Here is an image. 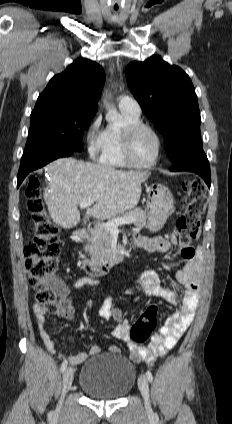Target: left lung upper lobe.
I'll return each mask as SVG.
<instances>
[{
    "mask_svg": "<svg viewBox=\"0 0 232 424\" xmlns=\"http://www.w3.org/2000/svg\"><path fill=\"white\" fill-rule=\"evenodd\" d=\"M125 73L131 92L164 135L166 152L175 163L187 147L201 140L198 101L189 76L160 56L131 62Z\"/></svg>",
    "mask_w": 232,
    "mask_h": 424,
    "instance_id": "obj_1",
    "label": "left lung upper lobe"
}]
</instances>
